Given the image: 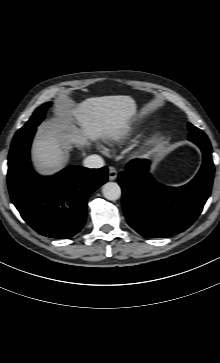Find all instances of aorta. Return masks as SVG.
<instances>
[{"label": "aorta", "mask_w": 220, "mask_h": 363, "mask_svg": "<svg viewBox=\"0 0 220 363\" xmlns=\"http://www.w3.org/2000/svg\"><path fill=\"white\" fill-rule=\"evenodd\" d=\"M103 196L110 201H115L121 197V188L115 182H107L102 187Z\"/></svg>", "instance_id": "1"}]
</instances>
